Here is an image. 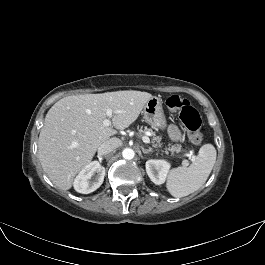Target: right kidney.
<instances>
[{
  "instance_id": "1",
  "label": "right kidney",
  "mask_w": 265,
  "mask_h": 265,
  "mask_svg": "<svg viewBox=\"0 0 265 265\" xmlns=\"http://www.w3.org/2000/svg\"><path fill=\"white\" fill-rule=\"evenodd\" d=\"M104 176L105 168L98 161H93L76 176L74 189L82 194L94 192L102 185Z\"/></svg>"
}]
</instances>
